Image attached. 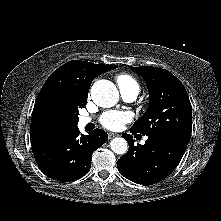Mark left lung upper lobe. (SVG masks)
Here are the masks:
<instances>
[{
    "mask_svg": "<svg viewBox=\"0 0 221 221\" xmlns=\"http://www.w3.org/2000/svg\"><path fill=\"white\" fill-rule=\"evenodd\" d=\"M147 83L148 111L131 127L133 133L170 139L187 147L191 137L192 107L181 81L165 69L130 67Z\"/></svg>",
    "mask_w": 221,
    "mask_h": 221,
    "instance_id": "left-lung-upper-lobe-1",
    "label": "left lung upper lobe"
}]
</instances>
